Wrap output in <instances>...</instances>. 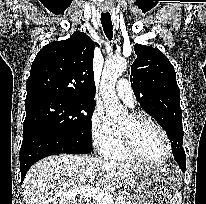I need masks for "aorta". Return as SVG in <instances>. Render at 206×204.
<instances>
[{"instance_id":"1","label":"aorta","mask_w":206,"mask_h":204,"mask_svg":"<svg viewBox=\"0 0 206 204\" xmlns=\"http://www.w3.org/2000/svg\"><path fill=\"white\" fill-rule=\"evenodd\" d=\"M127 62L124 58H114L104 66L100 93L107 111L108 117L112 121H118L127 114L126 108L120 104L115 93V84L120 74L126 69Z\"/></svg>"}]
</instances>
